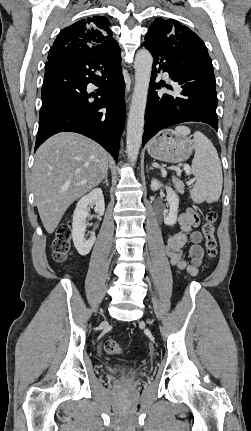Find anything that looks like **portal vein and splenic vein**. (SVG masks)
<instances>
[{"label":"portal vein and splenic vein","mask_w":251,"mask_h":431,"mask_svg":"<svg viewBox=\"0 0 251 431\" xmlns=\"http://www.w3.org/2000/svg\"><path fill=\"white\" fill-rule=\"evenodd\" d=\"M184 170L186 171V174H187V175H189V174H190V172H191L190 167H189V166H187V165H185V166H184Z\"/></svg>","instance_id":"18ae733b"}]
</instances>
